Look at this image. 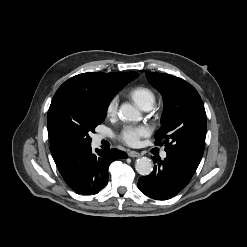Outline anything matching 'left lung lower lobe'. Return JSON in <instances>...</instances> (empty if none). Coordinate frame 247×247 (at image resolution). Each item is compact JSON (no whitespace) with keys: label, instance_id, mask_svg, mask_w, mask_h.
Instances as JSON below:
<instances>
[{"label":"left lung lower lobe","instance_id":"obj_1","mask_svg":"<svg viewBox=\"0 0 247 247\" xmlns=\"http://www.w3.org/2000/svg\"><path fill=\"white\" fill-rule=\"evenodd\" d=\"M153 172L141 177L139 190L150 198L166 200L181 191L190 181L200 162L188 157L168 154L164 161L153 158Z\"/></svg>","mask_w":247,"mask_h":247}]
</instances>
